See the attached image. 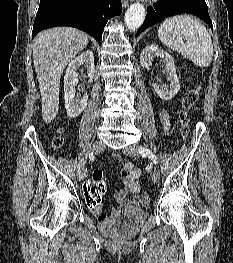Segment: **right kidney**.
Wrapping results in <instances>:
<instances>
[{
    "instance_id": "right-kidney-1",
    "label": "right kidney",
    "mask_w": 233,
    "mask_h": 263,
    "mask_svg": "<svg viewBox=\"0 0 233 263\" xmlns=\"http://www.w3.org/2000/svg\"><path fill=\"white\" fill-rule=\"evenodd\" d=\"M81 65L87 68V79L93 82L95 74L94 55L87 50L69 62L64 76V100L67 114L71 118L78 117L87 106L88 95L85 92L81 97L76 92L75 86L78 84L77 70Z\"/></svg>"
}]
</instances>
